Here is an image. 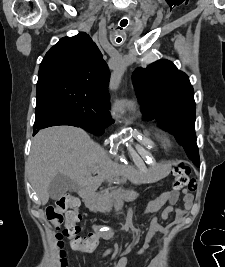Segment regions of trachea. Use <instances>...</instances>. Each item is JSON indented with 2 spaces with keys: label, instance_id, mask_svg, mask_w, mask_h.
Returning <instances> with one entry per match:
<instances>
[{
  "label": "trachea",
  "instance_id": "trachea-1",
  "mask_svg": "<svg viewBox=\"0 0 225 267\" xmlns=\"http://www.w3.org/2000/svg\"><path fill=\"white\" fill-rule=\"evenodd\" d=\"M127 24H128V20L127 19L121 20V22H120L121 28L120 29H122L123 27H125Z\"/></svg>",
  "mask_w": 225,
  "mask_h": 267
}]
</instances>
